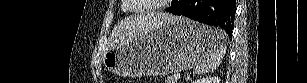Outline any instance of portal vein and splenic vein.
I'll list each match as a JSON object with an SVG mask.
<instances>
[{
	"label": "portal vein and splenic vein",
	"instance_id": "18ae733b",
	"mask_svg": "<svg viewBox=\"0 0 307 83\" xmlns=\"http://www.w3.org/2000/svg\"><path fill=\"white\" fill-rule=\"evenodd\" d=\"M174 78H175V79H180V74L174 75Z\"/></svg>",
	"mask_w": 307,
	"mask_h": 83
}]
</instances>
